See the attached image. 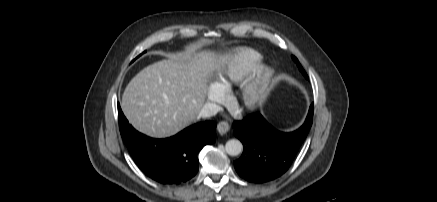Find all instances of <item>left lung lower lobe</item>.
<instances>
[{"label": "left lung lower lobe", "instance_id": "left-lung-lower-lobe-1", "mask_svg": "<svg viewBox=\"0 0 437 202\" xmlns=\"http://www.w3.org/2000/svg\"><path fill=\"white\" fill-rule=\"evenodd\" d=\"M313 122V104L304 124L284 133L274 129L261 114L233 123L234 135L243 143L241 157L234 161L237 173L249 182L263 183L287 171Z\"/></svg>", "mask_w": 437, "mask_h": 202}]
</instances>
